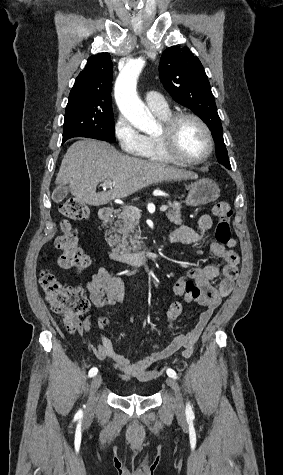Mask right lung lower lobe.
I'll list each match as a JSON object with an SVG mask.
<instances>
[{"label":"right lung lower lobe","instance_id":"98d812e1","mask_svg":"<svg viewBox=\"0 0 283 475\" xmlns=\"http://www.w3.org/2000/svg\"><path fill=\"white\" fill-rule=\"evenodd\" d=\"M65 141H66V140H63V141H62V144H63Z\"/></svg>","mask_w":283,"mask_h":475}]
</instances>
